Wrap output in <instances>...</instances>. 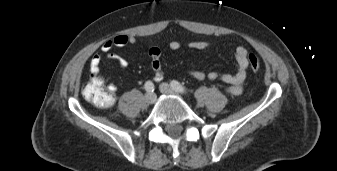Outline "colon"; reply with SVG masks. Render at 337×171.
Returning a JSON list of instances; mask_svg holds the SVG:
<instances>
[{"mask_svg":"<svg viewBox=\"0 0 337 171\" xmlns=\"http://www.w3.org/2000/svg\"><path fill=\"white\" fill-rule=\"evenodd\" d=\"M248 65L251 71L257 72L260 68V61L255 54H249ZM84 98L99 108L110 107L114 103V95L109 92L100 76L93 77L83 90Z\"/></svg>","mask_w":337,"mask_h":171,"instance_id":"colon-1","label":"colon"}]
</instances>
